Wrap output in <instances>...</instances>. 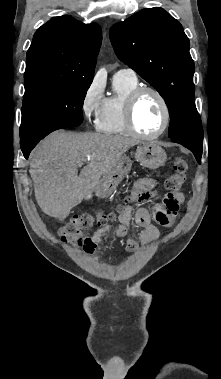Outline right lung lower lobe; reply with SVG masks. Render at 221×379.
I'll return each instance as SVG.
<instances>
[{
  "instance_id": "1",
  "label": "right lung lower lobe",
  "mask_w": 221,
  "mask_h": 379,
  "mask_svg": "<svg viewBox=\"0 0 221 379\" xmlns=\"http://www.w3.org/2000/svg\"><path fill=\"white\" fill-rule=\"evenodd\" d=\"M44 138V137H43ZM42 139L38 138L35 139L34 141H28L27 139H21L20 144H21V150L24 154V157L27 159L31 150L35 147V145Z\"/></svg>"
}]
</instances>
